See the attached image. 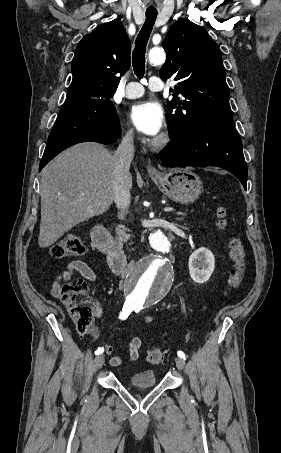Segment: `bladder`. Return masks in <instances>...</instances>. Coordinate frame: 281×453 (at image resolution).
Listing matches in <instances>:
<instances>
[{
    "label": "bladder",
    "mask_w": 281,
    "mask_h": 453,
    "mask_svg": "<svg viewBox=\"0 0 281 453\" xmlns=\"http://www.w3.org/2000/svg\"><path fill=\"white\" fill-rule=\"evenodd\" d=\"M129 383L132 386L146 388L155 385L156 377L153 371H143L135 373L129 377Z\"/></svg>",
    "instance_id": "bladder-1"
}]
</instances>
